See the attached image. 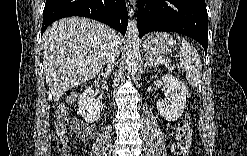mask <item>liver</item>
<instances>
[{
  "label": "liver",
  "mask_w": 247,
  "mask_h": 156,
  "mask_svg": "<svg viewBox=\"0 0 247 156\" xmlns=\"http://www.w3.org/2000/svg\"><path fill=\"white\" fill-rule=\"evenodd\" d=\"M112 29L88 18L71 17L54 22L42 37L46 82L58 102L69 89L89 81L105 63V51Z\"/></svg>",
  "instance_id": "6515ba94"
}]
</instances>
